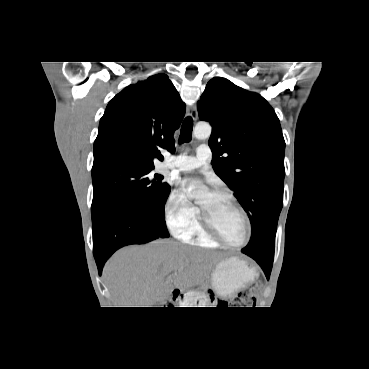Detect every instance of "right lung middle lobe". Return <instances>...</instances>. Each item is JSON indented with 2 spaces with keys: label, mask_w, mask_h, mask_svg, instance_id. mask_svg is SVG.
I'll return each mask as SVG.
<instances>
[{
  "label": "right lung middle lobe",
  "mask_w": 369,
  "mask_h": 369,
  "mask_svg": "<svg viewBox=\"0 0 369 369\" xmlns=\"http://www.w3.org/2000/svg\"><path fill=\"white\" fill-rule=\"evenodd\" d=\"M153 168L123 162L93 165L92 221L108 206L126 204L145 211L153 220L157 231L168 237L165 202L170 186L162 182V175L151 174Z\"/></svg>",
  "instance_id": "dd1d6c3e"
}]
</instances>
